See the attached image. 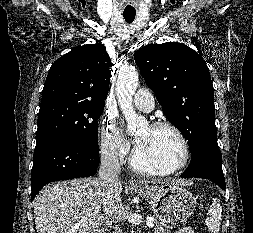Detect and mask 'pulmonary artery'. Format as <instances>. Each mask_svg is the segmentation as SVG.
I'll list each match as a JSON object with an SVG mask.
<instances>
[{
  "label": "pulmonary artery",
  "mask_w": 253,
  "mask_h": 233,
  "mask_svg": "<svg viewBox=\"0 0 253 233\" xmlns=\"http://www.w3.org/2000/svg\"><path fill=\"white\" fill-rule=\"evenodd\" d=\"M133 104L143 112H151L155 106L154 96L147 89H139L134 94Z\"/></svg>",
  "instance_id": "obj_1"
}]
</instances>
